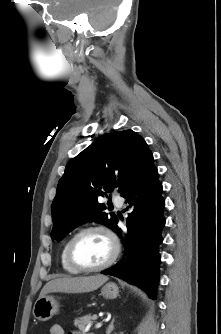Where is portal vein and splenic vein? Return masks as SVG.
Here are the masks:
<instances>
[{
    "label": "portal vein and splenic vein",
    "mask_w": 221,
    "mask_h": 334,
    "mask_svg": "<svg viewBox=\"0 0 221 334\" xmlns=\"http://www.w3.org/2000/svg\"><path fill=\"white\" fill-rule=\"evenodd\" d=\"M101 326H102V323L99 322V323H97V324L95 325V328H96V329H99V328H101Z\"/></svg>",
    "instance_id": "portal-vein-and-splenic-vein-1"
}]
</instances>
